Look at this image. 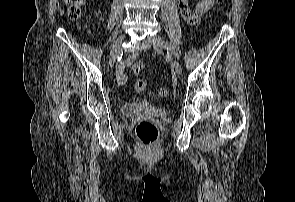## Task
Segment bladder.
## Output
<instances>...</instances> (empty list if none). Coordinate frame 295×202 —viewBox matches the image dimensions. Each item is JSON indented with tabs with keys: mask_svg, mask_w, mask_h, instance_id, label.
<instances>
[{
	"mask_svg": "<svg viewBox=\"0 0 295 202\" xmlns=\"http://www.w3.org/2000/svg\"><path fill=\"white\" fill-rule=\"evenodd\" d=\"M122 114L125 116H131L140 112L156 113L161 117L169 115L168 109L161 107L146 101L130 102L122 106Z\"/></svg>",
	"mask_w": 295,
	"mask_h": 202,
	"instance_id": "bladder-1",
	"label": "bladder"
}]
</instances>
